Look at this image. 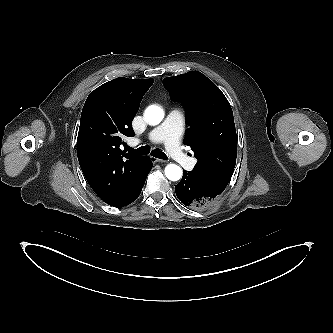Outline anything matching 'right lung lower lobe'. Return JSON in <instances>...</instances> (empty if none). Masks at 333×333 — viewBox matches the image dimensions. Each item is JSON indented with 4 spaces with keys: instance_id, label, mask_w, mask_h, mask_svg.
I'll return each mask as SVG.
<instances>
[{
    "instance_id": "obj_1",
    "label": "right lung lower lobe",
    "mask_w": 333,
    "mask_h": 333,
    "mask_svg": "<svg viewBox=\"0 0 333 333\" xmlns=\"http://www.w3.org/2000/svg\"><path fill=\"white\" fill-rule=\"evenodd\" d=\"M152 168V163L148 157L144 160L143 164L140 166L138 173L133 181L132 188L128 196L116 207H124L137 199L141 190L144 186L146 177Z\"/></svg>"
}]
</instances>
